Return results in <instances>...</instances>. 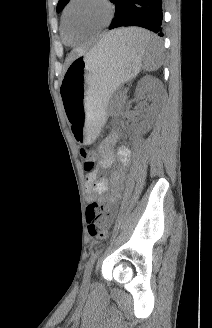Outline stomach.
<instances>
[{"mask_svg":"<svg viewBox=\"0 0 212 328\" xmlns=\"http://www.w3.org/2000/svg\"><path fill=\"white\" fill-rule=\"evenodd\" d=\"M144 57L143 50L110 35L69 64L60 90L77 141L89 143L97 137L111 95L140 72Z\"/></svg>","mask_w":212,"mask_h":328,"instance_id":"0dacf381","label":"stomach"}]
</instances>
